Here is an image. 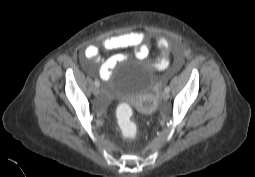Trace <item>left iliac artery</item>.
<instances>
[{
	"label": "left iliac artery",
	"instance_id": "1",
	"mask_svg": "<svg viewBox=\"0 0 255 177\" xmlns=\"http://www.w3.org/2000/svg\"><path fill=\"white\" fill-rule=\"evenodd\" d=\"M164 91L169 92V91H170V87H169V86H166L165 89H164Z\"/></svg>",
	"mask_w": 255,
	"mask_h": 177
}]
</instances>
